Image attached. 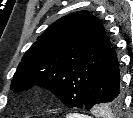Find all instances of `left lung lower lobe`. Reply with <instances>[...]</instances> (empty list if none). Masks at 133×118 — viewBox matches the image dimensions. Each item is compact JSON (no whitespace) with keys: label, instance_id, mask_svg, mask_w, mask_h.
Returning <instances> with one entry per match:
<instances>
[{"label":"left lung lower lobe","instance_id":"obj_1","mask_svg":"<svg viewBox=\"0 0 133 118\" xmlns=\"http://www.w3.org/2000/svg\"><path fill=\"white\" fill-rule=\"evenodd\" d=\"M116 100L122 102L123 92L120 85L119 63L115 49L112 48L86 95L84 107L88 111L97 105L103 108Z\"/></svg>","mask_w":133,"mask_h":118}]
</instances>
